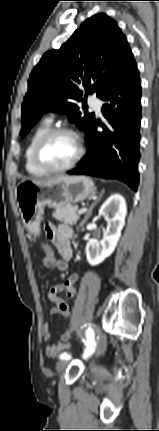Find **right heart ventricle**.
Wrapping results in <instances>:
<instances>
[{
	"mask_svg": "<svg viewBox=\"0 0 159 431\" xmlns=\"http://www.w3.org/2000/svg\"><path fill=\"white\" fill-rule=\"evenodd\" d=\"M50 129V121L45 120L40 123L29 137L27 146L25 148L24 158H25V168L26 171L35 177H41L47 174L44 170L37 166L33 158L34 146L38 139Z\"/></svg>",
	"mask_w": 159,
	"mask_h": 431,
	"instance_id": "obj_1",
	"label": "right heart ventricle"
}]
</instances>
